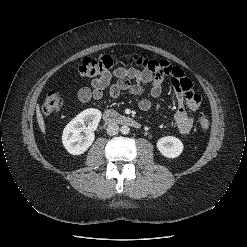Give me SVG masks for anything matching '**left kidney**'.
I'll return each mask as SVG.
<instances>
[{"label":"left kidney","mask_w":247,"mask_h":247,"mask_svg":"<svg viewBox=\"0 0 247 247\" xmlns=\"http://www.w3.org/2000/svg\"><path fill=\"white\" fill-rule=\"evenodd\" d=\"M157 148L167 158H176L183 151V143L174 136L162 137L157 141Z\"/></svg>","instance_id":"5707ae66"}]
</instances>
